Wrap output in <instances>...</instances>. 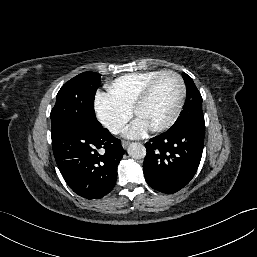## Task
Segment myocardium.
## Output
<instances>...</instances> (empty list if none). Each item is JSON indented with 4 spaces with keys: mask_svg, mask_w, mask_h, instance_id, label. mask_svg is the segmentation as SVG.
Listing matches in <instances>:
<instances>
[{
    "mask_svg": "<svg viewBox=\"0 0 257 257\" xmlns=\"http://www.w3.org/2000/svg\"><path fill=\"white\" fill-rule=\"evenodd\" d=\"M166 75H171L174 76L178 83H179V97H178V101L176 103V106L172 112V114L170 115V117L161 125L156 126L152 129H150L152 132H162L167 130L168 128H170L175 121L177 120L183 103H184V98H185V93H186V86H185V82L182 78V76L173 71V70H165L162 71L161 73H159L156 77H154L145 87L144 89L141 91L140 95L138 96L137 100L135 101L133 108H132V113L133 115H137L138 111L142 108V106L148 101L155 85L158 83V81L166 76Z\"/></svg>",
    "mask_w": 257,
    "mask_h": 257,
    "instance_id": "f54148a6",
    "label": "myocardium"
}]
</instances>
